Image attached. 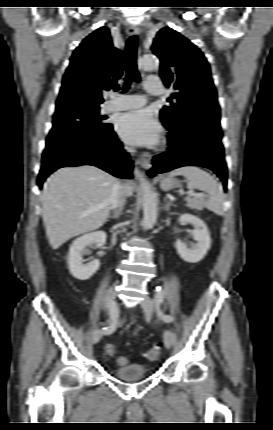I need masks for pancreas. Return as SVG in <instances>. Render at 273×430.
<instances>
[{
	"instance_id": "1",
	"label": "pancreas",
	"mask_w": 273,
	"mask_h": 430,
	"mask_svg": "<svg viewBox=\"0 0 273 430\" xmlns=\"http://www.w3.org/2000/svg\"><path fill=\"white\" fill-rule=\"evenodd\" d=\"M203 202V198L192 200L188 206L192 209L202 210L201 203Z\"/></svg>"
}]
</instances>
